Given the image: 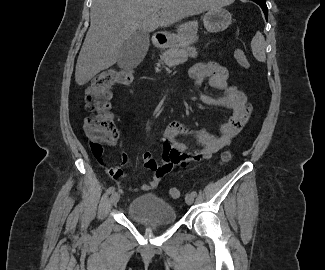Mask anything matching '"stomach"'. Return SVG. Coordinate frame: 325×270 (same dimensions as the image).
I'll list each match as a JSON object with an SVG mask.
<instances>
[{
  "label": "stomach",
  "mask_w": 325,
  "mask_h": 270,
  "mask_svg": "<svg viewBox=\"0 0 325 270\" xmlns=\"http://www.w3.org/2000/svg\"><path fill=\"white\" fill-rule=\"evenodd\" d=\"M204 26L208 32L216 33L223 31L229 27L232 22V16L226 9L214 8L209 9L203 17ZM197 40V34L183 36H170L167 46L177 48L183 44H190Z\"/></svg>",
  "instance_id": "obj_1"
}]
</instances>
